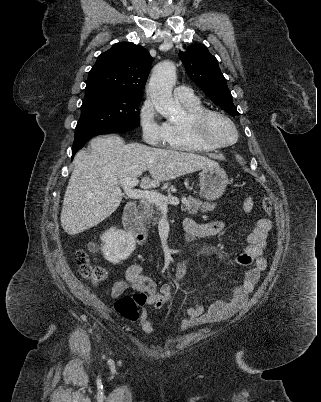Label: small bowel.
I'll list each match as a JSON object with an SVG mask.
<instances>
[{
  "label": "small bowel",
  "mask_w": 321,
  "mask_h": 402,
  "mask_svg": "<svg viewBox=\"0 0 321 402\" xmlns=\"http://www.w3.org/2000/svg\"><path fill=\"white\" fill-rule=\"evenodd\" d=\"M223 228L224 224L220 221L199 223L193 219H186L184 221V238L188 242H193L196 239L212 238L219 235ZM271 228V221L266 218H261L256 222L254 228L247 236V246L236 257L237 264L251 266L246 271L242 282L234 287L230 298L215 301L206 311L199 302H195L192 306L184 309L182 311L184 317L181 323L182 330L188 329L195 324L224 320L239 311L246 304L249 294L253 291L261 273L267 267L263 254L266 239ZM197 252L222 257V252L214 244L202 245L198 248ZM175 273L178 287H180L181 281L186 274V260H181L176 264ZM128 287L144 291L148 294L146 307L142 310L139 325L146 334L153 335L154 326L150 320L147 307L153 306L156 309H160L169 303L172 299L171 287L164 284L158 288L154 280L143 273L142 267L139 264H132L128 267L125 280H119L114 284L112 295L117 297Z\"/></svg>",
  "instance_id": "c3829d8e"
}]
</instances>
